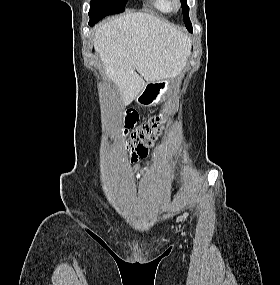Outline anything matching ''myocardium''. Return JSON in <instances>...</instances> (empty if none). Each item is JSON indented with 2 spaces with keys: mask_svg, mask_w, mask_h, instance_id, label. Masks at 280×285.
I'll return each instance as SVG.
<instances>
[{
  "mask_svg": "<svg viewBox=\"0 0 280 285\" xmlns=\"http://www.w3.org/2000/svg\"><path fill=\"white\" fill-rule=\"evenodd\" d=\"M169 3H170V6H171V9L174 10V11L179 10L181 8V6H182L181 0H169Z\"/></svg>",
  "mask_w": 280,
  "mask_h": 285,
  "instance_id": "f54148a6",
  "label": "myocardium"
}]
</instances>
